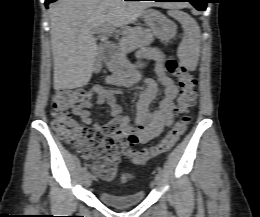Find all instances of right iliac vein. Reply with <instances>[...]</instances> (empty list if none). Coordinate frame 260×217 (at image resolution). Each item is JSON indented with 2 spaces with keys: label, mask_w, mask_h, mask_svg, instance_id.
Segmentation results:
<instances>
[{
  "label": "right iliac vein",
  "mask_w": 260,
  "mask_h": 217,
  "mask_svg": "<svg viewBox=\"0 0 260 217\" xmlns=\"http://www.w3.org/2000/svg\"><path fill=\"white\" fill-rule=\"evenodd\" d=\"M92 183V175L88 172L84 175V184L86 187H89Z\"/></svg>",
  "instance_id": "63e3f726"
}]
</instances>
